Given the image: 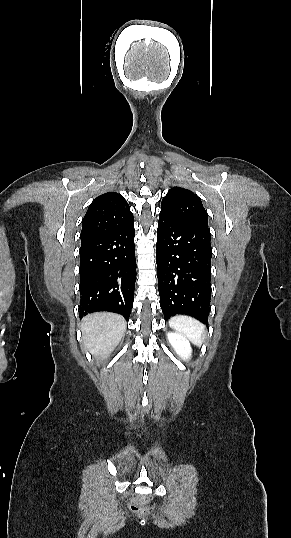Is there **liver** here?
I'll return each mask as SVG.
<instances>
[{
	"label": "liver",
	"mask_w": 291,
	"mask_h": 538,
	"mask_svg": "<svg viewBox=\"0 0 291 538\" xmlns=\"http://www.w3.org/2000/svg\"><path fill=\"white\" fill-rule=\"evenodd\" d=\"M83 346L95 357H108L121 341L126 331V321L121 315L98 312L83 318Z\"/></svg>",
	"instance_id": "obj_1"
}]
</instances>
